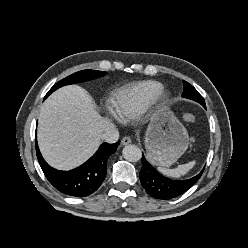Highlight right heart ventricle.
<instances>
[{
	"instance_id": "e07e8e85",
	"label": "right heart ventricle",
	"mask_w": 248,
	"mask_h": 248,
	"mask_svg": "<svg viewBox=\"0 0 248 248\" xmlns=\"http://www.w3.org/2000/svg\"><path fill=\"white\" fill-rule=\"evenodd\" d=\"M162 89L155 80L138 81L118 89L112 99L111 109L121 122H129L139 117L154 101Z\"/></svg>"
}]
</instances>
